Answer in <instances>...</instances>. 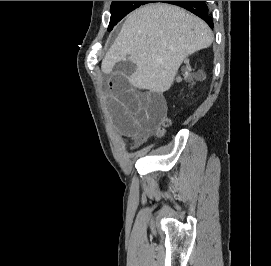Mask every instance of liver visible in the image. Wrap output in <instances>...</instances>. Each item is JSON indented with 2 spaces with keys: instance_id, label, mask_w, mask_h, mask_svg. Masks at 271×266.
I'll return each instance as SVG.
<instances>
[{
  "instance_id": "obj_1",
  "label": "liver",
  "mask_w": 271,
  "mask_h": 266,
  "mask_svg": "<svg viewBox=\"0 0 271 266\" xmlns=\"http://www.w3.org/2000/svg\"><path fill=\"white\" fill-rule=\"evenodd\" d=\"M209 26L197 16L169 4H149L131 13L106 53L101 69L111 74L114 62L130 60L136 70L127 78L138 89H170L183 60L212 44Z\"/></svg>"
}]
</instances>
